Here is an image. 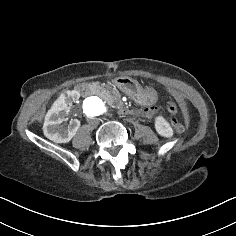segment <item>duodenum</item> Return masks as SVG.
Here are the masks:
<instances>
[{"label": "duodenum", "instance_id": "duodenum-1", "mask_svg": "<svg viewBox=\"0 0 236 236\" xmlns=\"http://www.w3.org/2000/svg\"><path fill=\"white\" fill-rule=\"evenodd\" d=\"M78 92L82 95V96H88L91 93V87L88 84H81L78 87ZM129 113H131V110H128Z\"/></svg>", "mask_w": 236, "mask_h": 236}]
</instances>
